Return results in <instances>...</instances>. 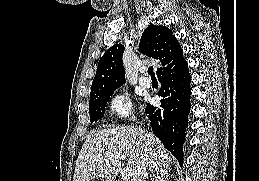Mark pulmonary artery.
Here are the masks:
<instances>
[{
  "label": "pulmonary artery",
  "mask_w": 259,
  "mask_h": 181,
  "mask_svg": "<svg viewBox=\"0 0 259 181\" xmlns=\"http://www.w3.org/2000/svg\"><path fill=\"white\" fill-rule=\"evenodd\" d=\"M139 83H140V85L142 86V87H144V88H149V87H151V80H149L148 78H146V77H140L139 78Z\"/></svg>",
  "instance_id": "obj_1"
}]
</instances>
